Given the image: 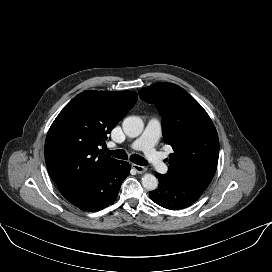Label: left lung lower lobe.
I'll use <instances>...</instances> for the list:
<instances>
[{
    "label": "left lung lower lobe",
    "mask_w": 272,
    "mask_h": 272,
    "mask_svg": "<svg viewBox=\"0 0 272 272\" xmlns=\"http://www.w3.org/2000/svg\"><path fill=\"white\" fill-rule=\"evenodd\" d=\"M159 186L149 193L156 204L170 210H179L193 204L201 196L206 187L191 181L156 173Z\"/></svg>",
    "instance_id": "left-lung-lower-lobe-1"
}]
</instances>
